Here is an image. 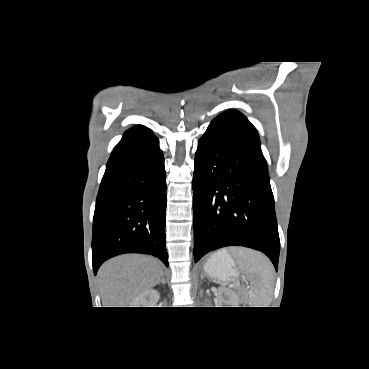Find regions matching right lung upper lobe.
<instances>
[{"mask_svg":"<svg viewBox=\"0 0 369 369\" xmlns=\"http://www.w3.org/2000/svg\"><path fill=\"white\" fill-rule=\"evenodd\" d=\"M145 129H147V128L142 126V125H138L137 127L131 128L128 131H126L124 135L131 134V133H136V132H139V131H142V130H145Z\"/></svg>","mask_w":369,"mask_h":369,"instance_id":"cb5924a9","label":"right lung upper lobe"}]
</instances>
